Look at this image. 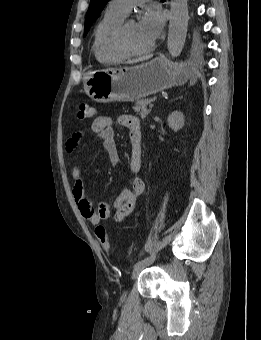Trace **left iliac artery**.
Listing matches in <instances>:
<instances>
[{
	"label": "left iliac artery",
	"instance_id": "1",
	"mask_svg": "<svg viewBox=\"0 0 261 340\" xmlns=\"http://www.w3.org/2000/svg\"><path fill=\"white\" fill-rule=\"evenodd\" d=\"M156 257L155 253H152L142 259H140L139 261H137V263L134 265V267L140 266V265H146L150 262H152Z\"/></svg>",
	"mask_w": 261,
	"mask_h": 340
}]
</instances>
